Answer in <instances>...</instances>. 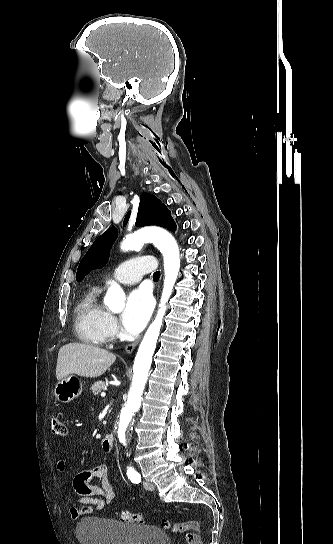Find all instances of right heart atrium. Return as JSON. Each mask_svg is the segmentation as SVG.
I'll return each mask as SVG.
<instances>
[{
    "label": "right heart atrium",
    "instance_id": "right-heart-atrium-1",
    "mask_svg": "<svg viewBox=\"0 0 333 544\" xmlns=\"http://www.w3.org/2000/svg\"><path fill=\"white\" fill-rule=\"evenodd\" d=\"M106 333L108 338H115L119 333V328L116 319L109 315L106 322Z\"/></svg>",
    "mask_w": 333,
    "mask_h": 544
}]
</instances>
